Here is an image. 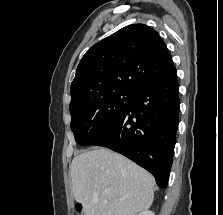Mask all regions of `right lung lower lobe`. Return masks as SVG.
<instances>
[{
  "mask_svg": "<svg viewBox=\"0 0 223 215\" xmlns=\"http://www.w3.org/2000/svg\"><path fill=\"white\" fill-rule=\"evenodd\" d=\"M177 76L139 90L120 120L91 145L123 154L167 188L178 128Z\"/></svg>",
  "mask_w": 223,
  "mask_h": 215,
  "instance_id": "right-lung-lower-lobe-1",
  "label": "right lung lower lobe"
}]
</instances>
